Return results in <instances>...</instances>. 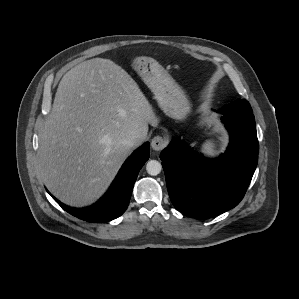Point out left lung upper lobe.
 Listing matches in <instances>:
<instances>
[{
	"mask_svg": "<svg viewBox=\"0 0 299 299\" xmlns=\"http://www.w3.org/2000/svg\"><path fill=\"white\" fill-rule=\"evenodd\" d=\"M220 113H253L252 108L249 102L245 99H238L228 105H225L221 109L218 110Z\"/></svg>",
	"mask_w": 299,
	"mask_h": 299,
	"instance_id": "obj_1",
	"label": "left lung upper lobe"
}]
</instances>
